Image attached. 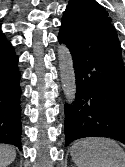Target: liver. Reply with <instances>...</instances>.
<instances>
[{"label": "liver", "mask_w": 125, "mask_h": 167, "mask_svg": "<svg viewBox=\"0 0 125 167\" xmlns=\"http://www.w3.org/2000/svg\"><path fill=\"white\" fill-rule=\"evenodd\" d=\"M16 158L15 148L11 145L0 144V167H7Z\"/></svg>", "instance_id": "liver-1"}]
</instances>
